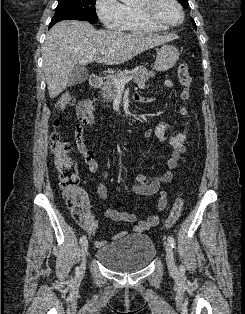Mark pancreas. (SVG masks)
Segmentation results:
<instances>
[{"label":"pancreas","mask_w":245,"mask_h":314,"mask_svg":"<svg viewBox=\"0 0 245 314\" xmlns=\"http://www.w3.org/2000/svg\"><path fill=\"white\" fill-rule=\"evenodd\" d=\"M132 75L133 81L136 84L145 83L150 77L154 75L152 71H148L143 66H137L129 72L118 71L115 75H109L105 78L104 83L102 84V98L107 101H112L116 97L117 87L114 84V78H125Z\"/></svg>","instance_id":"1"}]
</instances>
